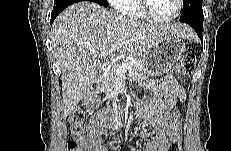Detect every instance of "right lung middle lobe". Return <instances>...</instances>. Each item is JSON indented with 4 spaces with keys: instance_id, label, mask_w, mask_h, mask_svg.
Listing matches in <instances>:
<instances>
[{
    "instance_id": "1",
    "label": "right lung middle lobe",
    "mask_w": 231,
    "mask_h": 151,
    "mask_svg": "<svg viewBox=\"0 0 231 151\" xmlns=\"http://www.w3.org/2000/svg\"><path fill=\"white\" fill-rule=\"evenodd\" d=\"M98 1L102 4V6L108 7L107 0H98Z\"/></svg>"
}]
</instances>
